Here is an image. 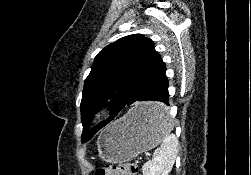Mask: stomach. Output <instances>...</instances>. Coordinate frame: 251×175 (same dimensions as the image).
Masks as SVG:
<instances>
[{
  "label": "stomach",
  "instance_id": "0dacf381",
  "mask_svg": "<svg viewBox=\"0 0 251 175\" xmlns=\"http://www.w3.org/2000/svg\"><path fill=\"white\" fill-rule=\"evenodd\" d=\"M157 100H138L123 117L109 123L101 131L98 141V155L108 163L131 161L142 151L152 149L172 134L169 114H153V111H170V106H155Z\"/></svg>",
  "mask_w": 251,
  "mask_h": 175
}]
</instances>
